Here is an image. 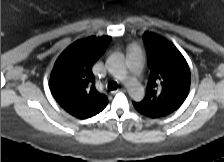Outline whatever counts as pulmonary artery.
Returning <instances> with one entry per match:
<instances>
[{
    "mask_svg": "<svg viewBox=\"0 0 224 162\" xmlns=\"http://www.w3.org/2000/svg\"><path fill=\"white\" fill-rule=\"evenodd\" d=\"M127 67L132 74L137 75L141 72V61L137 56V50L134 47L130 49L128 54Z\"/></svg>",
    "mask_w": 224,
    "mask_h": 162,
    "instance_id": "pulmonary-artery-1",
    "label": "pulmonary artery"
}]
</instances>
